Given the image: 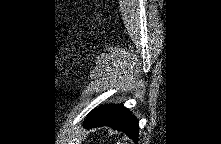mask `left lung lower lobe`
Returning <instances> with one entry per match:
<instances>
[{"mask_svg": "<svg viewBox=\"0 0 221 144\" xmlns=\"http://www.w3.org/2000/svg\"><path fill=\"white\" fill-rule=\"evenodd\" d=\"M85 127L111 126L126 133L135 143L138 142V121L121 104L95 109L84 122Z\"/></svg>", "mask_w": 221, "mask_h": 144, "instance_id": "0a47b994", "label": "left lung lower lobe"}]
</instances>
